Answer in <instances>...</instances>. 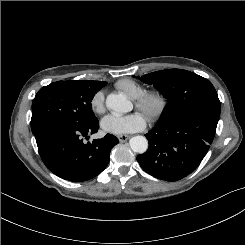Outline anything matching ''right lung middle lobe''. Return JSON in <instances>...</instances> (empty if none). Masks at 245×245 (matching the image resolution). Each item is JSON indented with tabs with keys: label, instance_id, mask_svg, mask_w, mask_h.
<instances>
[{
	"label": "right lung middle lobe",
	"instance_id": "1",
	"mask_svg": "<svg viewBox=\"0 0 245 245\" xmlns=\"http://www.w3.org/2000/svg\"><path fill=\"white\" fill-rule=\"evenodd\" d=\"M106 84L101 81L67 80L42 87L32 101V133L36 134L49 123L82 127L96 122L91 101Z\"/></svg>",
	"mask_w": 245,
	"mask_h": 245
}]
</instances>
